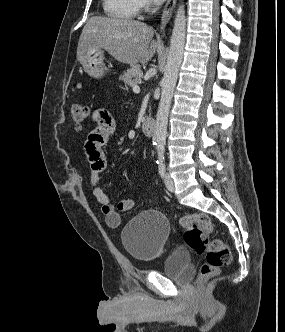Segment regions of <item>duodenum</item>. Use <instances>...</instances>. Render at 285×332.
Wrapping results in <instances>:
<instances>
[{
	"label": "duodenum",
	"instance_id": "obj_1",
	"mask_svg": "<svg viewBox=\"0 0 285 332\" xmlns=\"http://www.w3.org/2000/svg\"><path fill=\"white\" fill-rule=\"evenodd\" d=\"M155 121L152 118H145L142 122V131L145 136L152 137L155 134Z\"/></svg>",
	"mask_w": 285,
	"mask_h": 332
}]
</instances>
